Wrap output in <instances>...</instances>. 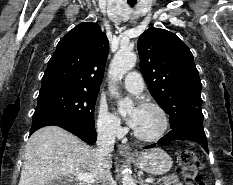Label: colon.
<instances>
[{
    "mask_svg": "<svg viewBox=\"0 0 233 185\" xmlns=\"http://www.w3.org/2000/svg\"><path fill=\"white\" fill-rule=\"evenodd\" d=\"M178 172L190 185H205L203 177L198 173V160L192 150H183L178 162Z\"/></svg>",
    "mask_w": 233,
    "mask_h": 185,
    "instance_id": "colon-1",
    "label": "colon"
}]
</instances>
